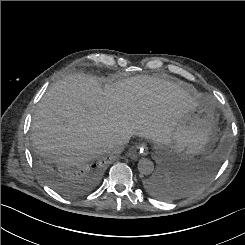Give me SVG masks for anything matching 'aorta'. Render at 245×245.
<instances>
[{
    "label": "aorta",
    "instance_id": "obj_1",
    "mask_svg": "<svg viewBox=\"0 0 245 245\" xmlns=\"http://www.w3.org/2000/svg\"><path fill=\"white\" fill-rule=\"evenodd\" d=\"M138 170L142 175H150L154 170V164L147 158H142L138 162Z\"/></svg>",
    "mask_w": 245,
    "mask_h": 245
}]
</instances>
